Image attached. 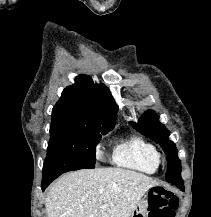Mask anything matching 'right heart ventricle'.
Instances as JSON below:
<instances>
[{"label":"right heart ventricle","mask_w":211,"mask_h":217,"mask_svg":"<svg viewBox=\"0 0 211 217\" xmlns=\"http://www.w3.org/2000/svg\"><path fill=\"white\" fill-rule=\"evenodd\" d=\"M113 162L121 167L153 174L159 167V153L151 142L133 136L119 143L112 156Z\"/></svg>","instance_id":"e07e8e85"}]
</instances>
